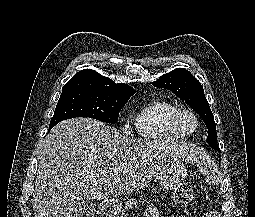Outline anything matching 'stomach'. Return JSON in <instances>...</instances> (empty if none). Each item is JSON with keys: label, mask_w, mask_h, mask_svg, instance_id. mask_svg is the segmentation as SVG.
<instances>
[{"label": "stomach", "mask_w": 255, "mask_h": 217, "mask_svg": "<svg viewBox=\"0 0 255 217\" xmlns=\"http://www.w3.org/2000/svg\"><path fill=\"white\" fill-rule=\"evenodd\" d=\"M187 172L182 160H173L168 162L165 167L159 172L158 180L160 185L166 190L176 188L186 177ZM122 209L120 202L111 203V212L119 213Z\"/></svg>", "instance_id": "0dacf381"}]
</instances>
